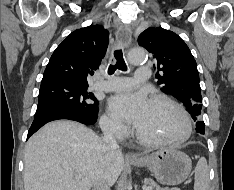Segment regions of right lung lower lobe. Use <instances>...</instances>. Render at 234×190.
Returning a JSON list of instances; mask_svg holds the SVG:
<instances>
[{
  "mask_svg": "<svg viewBox=\"0 0 234 190\" xmlns=\"http://www.w3.org/2000/svg\"><path fill=\"white\" fill-rule=\"evenodd\" d=\"M59 119L74 120L86 125H93L97 121V113L95 115H88L79 111L65 108L47 110L44 113L34 117V121L28 131L27 139L46 123Z\"/></svg>",
  "mask_w": 234,
  "mask_h": 190,
  "instance_id": "1",
  "label": "right lung lower lobe"
}]
</instances>
